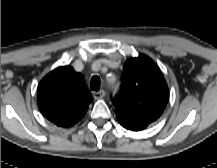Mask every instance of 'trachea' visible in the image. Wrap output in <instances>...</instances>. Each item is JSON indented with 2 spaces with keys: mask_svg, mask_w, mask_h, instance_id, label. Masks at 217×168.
I'll use <instances>...</instances> for the list:
<instances>
[{
  "mask_svg": "<svg viewBox=\"0 0 217 168\" xmlns=\"http://www.w3.org/2000/svg\"><path fill=\"white\" fill-rule=\"evenodd\" d=\"M100 86V78L98 76H93L91 80V89L94 91H98Z\"/></svg>",
  "mask_w": 217,
  "mask_h": 168,
  "instance_id": "trachea-1",
  "label": "trachea"
}]
</instances>
